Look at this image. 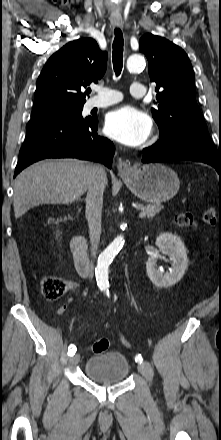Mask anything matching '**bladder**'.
<instances>
[{
	"label": "bladder",
	"mask_w": 221,
	"mask_h": 440,
	"mask_svg": "<svg viewBox=\"0 0 221 440\" xmlns=\"http://www.w3.org/2000/svg\"><path fill=\"white\" fill-rule=\"evenodd\" d=\"M85 375L98 383L115 384L123 382L130 370L127 357L117 351L100 353L87 360Z\"/></svg>",
	"instance_id": "31cf9c89"
}]
</instances>
